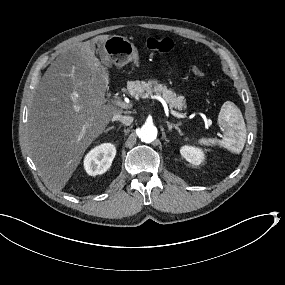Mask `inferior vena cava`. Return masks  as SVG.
Instances as JSON below:
<instances>
[{
  "instance_id": "obj_1",
  "label": "inferior vena cava",
  "mask_w": 285,
  "mask_h": 285,
  "mask_svg": "<svg viewBox=\"0 0 285 285\" xmlns=\"http://www.w3.org/2000/svg\"><path fill=\"white\" fill-rule=\"evenodd\" d=\"M113 121H120L121 123H123L125 125H130L133 122V117L115 114L113 116Z\"/></svg>"
}]
</instances>
